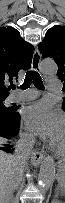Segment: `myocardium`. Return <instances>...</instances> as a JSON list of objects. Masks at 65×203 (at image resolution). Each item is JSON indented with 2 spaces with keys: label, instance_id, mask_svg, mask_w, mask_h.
<instances>
[{
  "label": "myocardium",
  "instance_id": "obj_1",
  "mask_svg": "<svg viewBox=\"0 0 65 203\" xmlns=\"http://www.w3.org/2000/svg\"><path fill=\"white\" fill-rule=\"evenodd\" d=\"M52 148L57 155L60 156L65 155V148L64 149L57 148L54 144L52 145Z\"/></svg>",
  "mask_w": 65,
  "mask_h": 203
}]
</instances>
